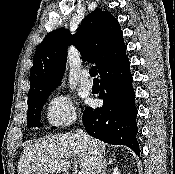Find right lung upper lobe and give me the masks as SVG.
<instances>
[{
  "mask_svg": "<svg viewBox=\"0 0 175 174\" xmlns=\"http://www.w3.org/2000/svg\"><path fill=\"white\" fill-rule=\"evenodd\" d=\"M69 44L77 47L84 60L95 63L99 74L126 53L117 19L97 8L83 19L76 34L60 28L50 32L39 44L30 72L28 101L50 94L60 85Z\"/></svg>",
  "mask_w": 175,
  "mask_h": 174,
  "instance_id": "right-lung-upper-lobe-1",
  "label": "right lung upper lobe"
}]
</instances>
